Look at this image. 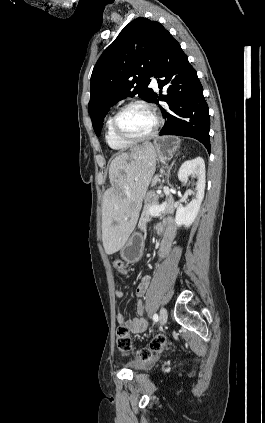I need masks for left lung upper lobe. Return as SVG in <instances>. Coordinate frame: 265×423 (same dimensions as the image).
<instances>
[{"mask_svg": "<svg viewBox=\"0 0 265 423\" xmlns=\"http://www.w3.org/2000/svg\"><path fill=\"white\" fill-rule=\"evenodd\" d=\"M171 34L156 21L139 17L126 25L97 61L91 76L89 114L98 136L111 106L139 95L153 102L148 88Z\"/></svg>", "mask_w": 265, "mask_h": 423, "instance_id": "obj_1", "label": "left lung upper lobe"}]
</instances>
